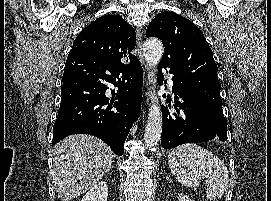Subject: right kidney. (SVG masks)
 I'll use <instances>...</instances> for the list:
<instances>
[{"mask_svg":"<svg viewBox=\"0 0 271 201\" xmlns=\"http://www.w3.org/2000/svg\"><path fill=\"white\" fill-rule=\"evenodd\" d=\"M108 187L106 182L101 181L92 187L81 201H107Z\"/></svg>","mask_w":271,"mask_h":201,"instance_id":"ca27d5eb","label":"right kidney"}]
</instances>
